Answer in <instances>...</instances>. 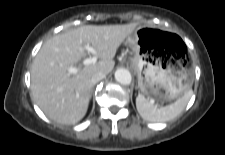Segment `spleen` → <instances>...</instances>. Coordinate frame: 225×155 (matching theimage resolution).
Here are the masks:
<instances>
[{"mask_svg": "<svg viewBox=\"0 0 225 155\" xmlns=\"http://www.w3.org/2000/svg\"><path fill=\"white\" fill-rule=\"evenodd\" d=\"M192 94V90H188L175 102L160 108L154 104L152 99L138 95L136 98V108L140 116L146 121L166 122L174 119L184 110Z\"/></svg>", "mask_w": 225, "mask_h": 155, "instance_id": "1", "label": "spleen"}]
</instances>
